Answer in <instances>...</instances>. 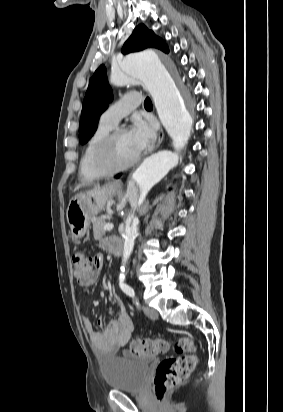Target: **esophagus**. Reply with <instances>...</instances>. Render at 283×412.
Segmentation results:
<instances>
[{"instance_id":"esophagus-1","label":"esophagus","mask_w":283,"mask_h":412,"mask_svg":"<svg viewBox=\"0 0 283 412\" xmlns=\"http://www.w3.org/2000/svg\"><path fill=\"white\" fill-rule=\"evenodd\" d=\"M163 138H164V131H163V129L161 128L160 131H159V134H158V141H157L156 148H158V147L160 146V144H161L162 141H163Z\"/></svg>"}]
</instances>
